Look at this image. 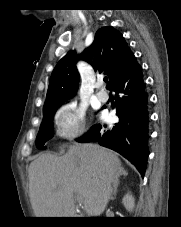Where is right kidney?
<instances>
[{"label":"right kidney","mask_w":181,"mask_h":227,"mask_svg":"<svg viewBox=\"0 0 181 227\" xmlns=\"http://www.w3.org/2000/svg\"><path fill=\"white\" fill-rule=\"evenodd\" d=\"M122 203L125 209L129 212H133L135 207V199L130 192H128L122 199Z\"/></svg>","instance_id":"1"}]
</instances>
